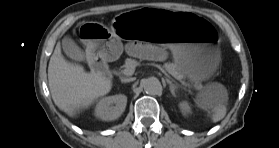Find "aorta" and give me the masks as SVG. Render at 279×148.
I'll return each mask as SVG.
<instances>
[{
  "mask_svg": "<svg viewBox=\"0 0 279 148\" xmlns=\"http://www.w3.org/2000/svg\"><path fill=\"white\" fill-rule=\"evenodd\" d=\"M144 91L149 95H158L162 92V85L155 77H150L143 82Z\"/></svg>",
  "mask_w": 279,
  "mask_h": 148,
  "instance_id": "obj_1",
  "label": "aorta"
}]
</instances>
